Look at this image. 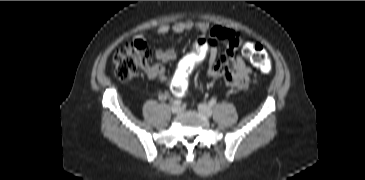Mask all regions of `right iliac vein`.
<instances>
[{
  "mask_svg": "<svg viewBox=\"0 0 365 180\" xmlns=\"http://www.w3.org/2000/svg\"><path fill=\"white\" fill-rule=\"evenodd\" d=\"M171 112H172L173 114H178V113H180V112H181V107H180V106H178V105H173V106L171 107Z\"/></svg>",
  "mask_w": 365,
  "mask_h": 180,
  "instance_id": "1",
  "label": "right iliac vein"
}]
</instances>
